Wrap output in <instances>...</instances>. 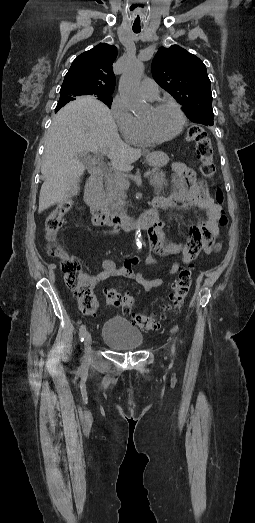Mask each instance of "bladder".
<instances>
[{
	"label": "bladder",
	"mask_w": 255,
	"mask_h": 523,
	"mask_svg": "<svg viewBox=\"0 0 255 523\" xmlns=\"http://www.w3.org/2000/svg\"><path fill=\"white\" fill-rule=\"evenodd\" d=\"M102 341L112 347L136 350L144 342L142 333L126 319H107L103 326Z\"/></svg>",
	"instance_id": "31cf9c89"
}]
</instances>
